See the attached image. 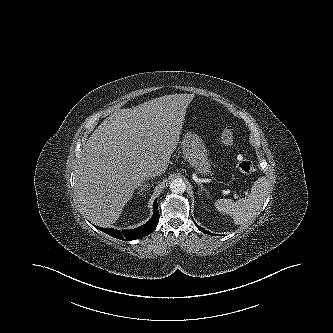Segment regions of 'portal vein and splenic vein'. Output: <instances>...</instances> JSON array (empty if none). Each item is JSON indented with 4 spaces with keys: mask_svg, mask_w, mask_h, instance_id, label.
<instances>
[{
    "mask_svg": "<svg viewBox=\"0 0 333 333\" xmlns=\"http://www.w3.org/2000/svg\"><path fill=\"white\" fill-rule=\"evenodd\" d=\"M234 197L237 198V195L235 194Z\"/></svg>",
    "mask_w": 333,
    "mask_h": 333,
    "instance_id": "18ae733b",
    "label": "portal vein and splenic vein"
}]
</instances>
